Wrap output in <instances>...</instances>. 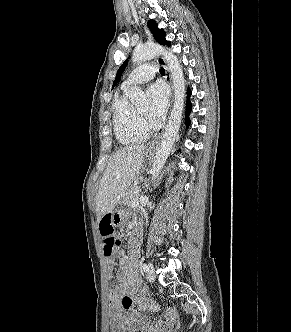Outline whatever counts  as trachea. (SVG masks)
Returning <instances> with one entry per match:
<instances>
[{
    "label": "trachea",
    "mask_w": 291,
    "mask_h": 332,
    "mask_svg": "<svg viewBox=\"0 0 291 332\" xmlns=\"http://www.w3.org/2000/svg\"><path fill=\"white\" fill-rule=\"evenodd\" d=\"M160 73H161V74H165V69L161 68V69H160Z\"/></svg>",
    "instance_id": "3493384b"
}]
</instances>
